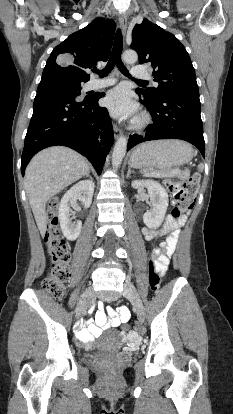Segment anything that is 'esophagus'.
I'll return each mask as SVG.
<instances>
[{
  "label": "esophagus",
  "instance_id": "obj_1",
  "mask_svg": "<svg viewBox=\"0 0 233 414\" xmlns=\"http://www.w3.org/2000/svg\"><path fill=\"white\" fill-rule=\"evenodd\" d=\"M119 25H120L123 35H125L126 29H127V16L125 13H120ZM113 131H114V137L115 139H117L121 135V130L117 125H114Z\"/></svg>",
  "mask_w": 233,
  "mask_h": 414
}]
</instances>
